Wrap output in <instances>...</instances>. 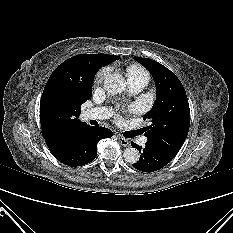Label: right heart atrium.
Instances as JSON below:
<instances>
[{"mask_svg": "<svg viewBox=\"0 0 233 233\" xmlns=\"http://www.w3.org/2000/svg\"><path fill=\"white\" fill-rule=\"evenodd\" d=\"M109 72H110L109 67H104L100 69L96 75V82L101 83L106 78V76L109 74Z\"/></svg>", "mask_w": 233, "mask_h": 233, "instance_id": "right-heart-atrium-1", "label": "right heart atrium"}]
</instances>
